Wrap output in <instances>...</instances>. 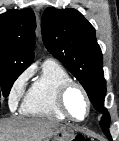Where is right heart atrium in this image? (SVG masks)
Listing matches in <instances>:
<instances>
[{
  "label": "right heart atrium",
  "mask_w": 119,
  "mask_h": 141,
  "mask_svg": "<svg viewBox=\"0 0 119 141\" xmlns=\"http://www.w3.org/2000/svg\"><path fill=\"white\" fill-rule=\"evenodd\" d=\"M32 75V69L28 68L21 73L11 86L9 92V106L16 109L20 100L23 98L27 86V82Z\"/></svg>",
  "instance_id": "1"
}]
</instances>
